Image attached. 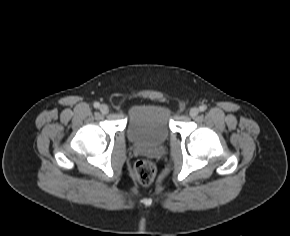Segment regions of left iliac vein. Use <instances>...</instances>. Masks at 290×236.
<instances>
[{
  "mask_svg": "<svg viewBox=\"0 0 290 236\" xmlns=\"http://www.w3.org/2000/svg\"><path fill=\"white\" fill-rule=\"evenodd\" d=\"M190 116L191 117H196L198 114H199V109L196 108V107H193L190 109V112H189Z\"/></svg>",
  "mask_w": 290,
  "mask_h": 236,
  "instance_id": "obj_1",
  "label": "left iliac vein"
}]
</instances>
